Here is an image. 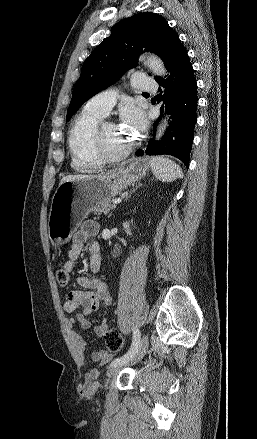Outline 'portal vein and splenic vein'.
<instances>
[{
    "instance_id": "obj_1",
    "label": "portal vein and splenic vein",
    "mask_w": 257,
    "mask_h": 439,
    "mask_svg": "<svg viewBox=\"0 0 257 439\" xmlns=\"http://www.w3.org/2000/svg\"><path fill=\"white\" fill-rule=\"evenodd\" d=\"M112 202L113 204H118L121 202V198L114 199Z\"/></svg>"
}]
</instances>
